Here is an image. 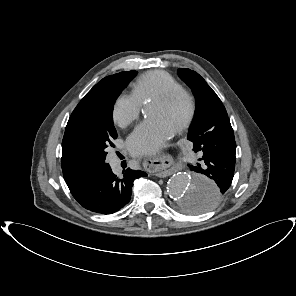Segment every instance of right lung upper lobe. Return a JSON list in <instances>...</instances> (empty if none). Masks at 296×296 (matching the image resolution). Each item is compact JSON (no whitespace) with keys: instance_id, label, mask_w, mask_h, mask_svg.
Listing matches in <instances>:
<instances>
[{"instance_id":"right-lung-upper-lobe-1","label":"right lung upper lobe","mask_w":296,"mask_h":296,"mask_svg":"<svg viewBox=\"0 0 296 296\" xmlns=\"http://www.w3.org/2000/svg\"><path fill=\"white\" fill-rule=\"evenodd\" d=\"M98 83L92 88L93 90L96 89L99 86L100 83L99 84ZM77 121H78L77 108H75V110L73 111V113L71 114V116L69 118V121L67 123L65 132L68 131V130H70V129H72L77 124ZM62 170H63V176H64V179H65L66 184H70L76 178H78V177H80V176L83 175V174H79V173L70 172L69 170H67L64 167H62Z\"/></svg>"}]
</instances>
